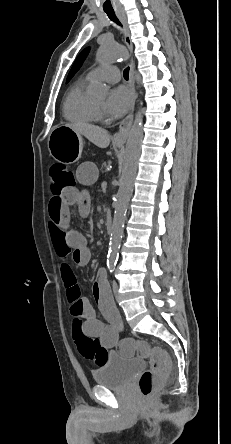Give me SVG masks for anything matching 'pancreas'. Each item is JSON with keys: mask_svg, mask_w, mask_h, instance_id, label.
Wrapping results in <instances>:
<instances>
[{"mask_svg": "<svg viewBox=\"0 0 231 444\" xmlns=\"http://www.w3.org/2000/svg\"><path fill=\"white\" fill-rule=\"evenodd\" d=\"M110 161H102L101 162V171L106 170L108 167H110Z\"/></svg>", "mask_w": 231, "mask_h": 444, "instance_id": "obj_1", "label": "pancreas"}]
</instances>
